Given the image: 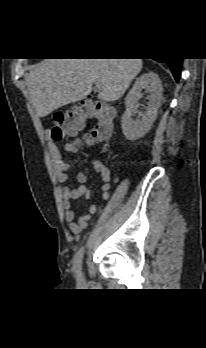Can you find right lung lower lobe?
<instances>
[{
	"instance_id": "right-lung-lower-lobe-1",
	"label": "right lung lower lobe",
	"mask_w": 206,
	"mask_h": 348,
	"mask_svg": "<svg viewBox=\"0 0 206 348\" xmlns=\"http://www.w3.org/2000/svg\"><path fill=\"white\" fill-rule=\"evenodd\" d=\"M158 62H165L169 65L170 70L176 81H179L181 74L182 59L181 58H166L162 60H156Z\"/></svg>"
}]
</instances>
